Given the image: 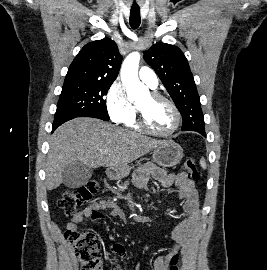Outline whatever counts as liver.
Masks as SVG:
<instances>
[{
  "label": "liver",
  "instance_id": "1",
  "mask_svg": "<svg viewBox=\"0 0 267 270\" xmlns=\"http://www.w3.org/2000/svg\"><path fill=\"white\" fill-rule=\"evenodd\" d=\"M165 143L95 118H75L52 135L46 160V188L63 182V171L74 162L90 168L123 167Z\"/></svg>",
  "mask_w": 267,
  "mask_h": 270
}]
</instances>
